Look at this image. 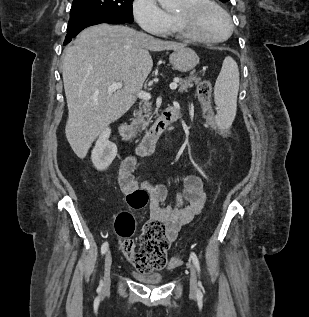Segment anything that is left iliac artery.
<instances>
[{"label": "left iliac artery", "instance_id": "left-iliac-artery-1", "mask_svg": "<svg viewBox=\"0 0 309 317\" xmlns=\"http://www.w3.org/2000/svg\"><path fill=\"white\" fill-rule=\"evenodd\" d=\"M190 257H191V259H192V261H193V263L195 265V268H196V270H197V272H198V274L200 276V263H199L197 255L194 252H191ZM200 284L201 283L199 281V285Z\"/></svg>", "mask_w": 309, "mask_h": 317}]
</instances>
